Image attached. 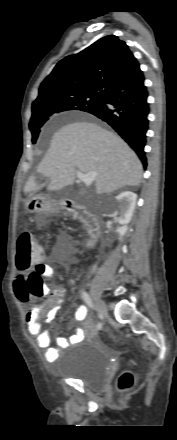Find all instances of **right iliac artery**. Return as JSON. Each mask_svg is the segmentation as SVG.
I'll list each match as a JSON object with an SVG mask.
<instances>
[{"instance_id": "1", "label": "right iliac artery", "mask_w": 177, "mask_h": 440, "mask_svg": "<svg viewBox=\"0 0 177 440\" xmlns=\"http://www.w3.org/2000/svg\"><path fill=\"white\" fill-rule=\"evenodd\" d=\"M81 295H82L83 300L86 302V304H87L89 307H91L92 309H94V305H93L92 300H91L90 296L88 295V293L83 291ZM96 327H97V329L99 330V329L102 328V324H101V323H98V324L96 325Z\"/></svg>"}]
</instances>
